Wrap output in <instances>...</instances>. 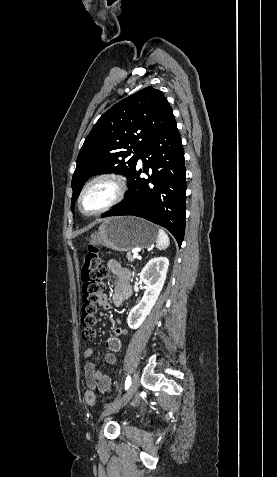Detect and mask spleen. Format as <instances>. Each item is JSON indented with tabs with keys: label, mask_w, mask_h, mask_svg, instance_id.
I'll return each instance as SVG.
<instances>
[{
	"label": "spleen",
	"mask_w": 277,
	"mask_h": 477,
	"mask_svg": "<svg viewBox=\"0 0 277 477\" xmlns=\"http://www.w3.org/2000/svg\"><path fill=\"white\" fill-rule=\"evenodd\" d=\"M170 244V239L163 229L158 230V237L156 241V247L159 250L166 249Z\"/></svg>",
	"instance_id": "spleen-1"
}]
</instances>
